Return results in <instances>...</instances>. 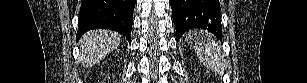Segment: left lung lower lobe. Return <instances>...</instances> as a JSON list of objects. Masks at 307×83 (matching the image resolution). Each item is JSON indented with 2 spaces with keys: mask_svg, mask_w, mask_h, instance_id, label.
<instances>
[{
  "mask_svg": "<svg viewBox=\"0 0 307 83\" xmlns=\"http://www.w3.org/2000/svg\"><path fill=\"white\" fill-rule=\"evenodd\" d=\"M177 40L192 29H205L222 39L220 4L218 0H169Z\"/></svg>",
  "mask_w": 307,
  "mask_h": 83,
  "instance_id": "1",
  "label": "left lung lower lobe"
}]
</instances>
